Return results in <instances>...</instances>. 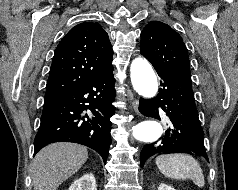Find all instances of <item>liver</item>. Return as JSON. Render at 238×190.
Segmentation results:
<instances>
[{
  "mask_svg": "<svg viewBox=\"0 0 238 190\" xmlns=\"http://www.w3.org/2000/svg\"><path fill=\"white\" fill-rule=\"evenodd\" d=\"M87 159V148L79 144L59 142L44 147L32 163L34 190H56Z\"/></svg>",
  "mask_w": 238,
  "mask_h": 190,
  "instance_id": "obj_1",
  "label": "liver"
}]
</instances>
